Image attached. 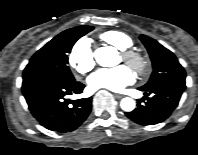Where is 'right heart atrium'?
<instances>
[{"mask_svg":"<svg viewBox=\"0 0 198 155\" xmlns=\"http://www.w3.org/2000/svg\"><path fill=\"white\" fill-rule=\"evenodd\" d=\"M69 63L72 68L80 73L86 74L94 67V56L87 39L77 41L69 53Z\"/></svg>","mask_w":198,"mask_h":155,"instance_id":"1","label":"right heart atrium"}]
</instances>
